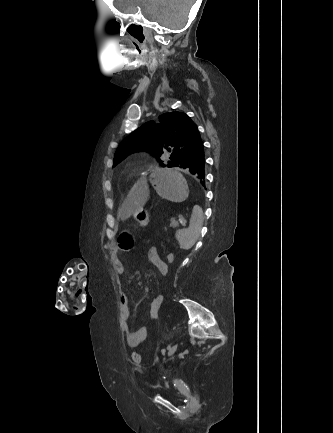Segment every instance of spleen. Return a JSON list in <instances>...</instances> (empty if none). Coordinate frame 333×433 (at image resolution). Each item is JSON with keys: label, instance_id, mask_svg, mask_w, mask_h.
<instances>
[{"label": "spleen", "instance_id": "obj_1", "mask_svg": "<svg viewBox=\"0 0 333 433\" xmlns=\"http://www.w3.org/2000/svg\"><path fill=\"white\" fill-rule=\"evenodd\" d=\"M202 218L203 213L201 207H194L189 227L176 232V238L182 249L188 250L192 248L198 240L203 224Z\"/></svg>", "mask_w": 333, "mask_h": 433}]
</instances>
